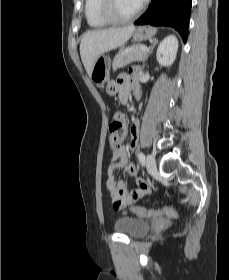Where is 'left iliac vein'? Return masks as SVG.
Listing matches in <instances>:
<instances>
[{
  "label": "left iliac vein",
  "instance_id": "left-iliac-vein-1",
  "mask_svg": "<svg viewBox=\"0 0 229 280\" xmlns=\"http://www.w3.org/2000/svg\"><path fill=\"white\" fill-rule=\"evenodd\" d=\"M146 168L149 172H153L156 170V160L155 157L151 154H148L145 162Z\"/></svg>",
  "mask_w": 229,
  "mask_h": 280
}]
</instances>
